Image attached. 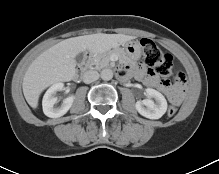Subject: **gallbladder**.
<instances>
[{
	"instance_id": "1",
	"label": "gallbladder",
	"mask_w": 219,
	"mask_h": 174,
	"mask_svg": "<svg viewBox=\"0 0 219 174\" xmlns=\"http://www.w3.org/2000/svg\"><path fill=\"white\" fill-rule=\"evenodd\" d=\"M76 62L79 64L82 62L83 60V54H78L75 58Z\"/></svg>"
}]
</instances>
